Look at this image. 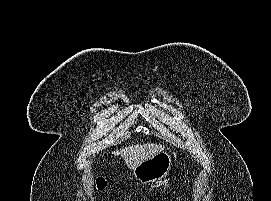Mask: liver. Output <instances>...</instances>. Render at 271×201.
<instances>
[{
  "instance_id": "1",
  "label": "liver",
  "mask_w": 271,
  "mask_h": 201,
  "mask_svg": "<svg viewBox=\"0 0 271 201\" xmlns=\"http://www.w3.org/2000/svg\"><path fill=\"white\" fill-rule=\"evenodd\" d=\"M164 146L154 143L131 145L121 148L119 153L122 156L125 164L133 169L141 162L154 157L156 154L162 152Z\"/></svg>"
}]
</instances>
